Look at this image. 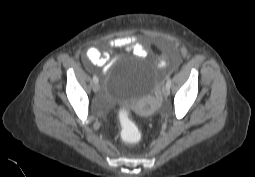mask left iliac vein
<instances>
[{
    "instance_id": "1",
    "label": "left iliac vein",
    "mask_w": 255,
    "mask_h": 177,
    "mask_svg": "<svg viewBox=\"0 0 255 177\" xmlns=\"http://www.w3.org/2000/svg\"><path fill=\"white\" fill-rule=\"evenodd\" d=\"M162 94H163V96H165V97L169 96V94H170V89L167 88V87L165 86V87L162 89Z\"/></svg>"
}]
</instances>
